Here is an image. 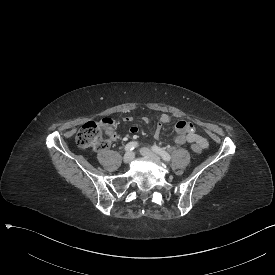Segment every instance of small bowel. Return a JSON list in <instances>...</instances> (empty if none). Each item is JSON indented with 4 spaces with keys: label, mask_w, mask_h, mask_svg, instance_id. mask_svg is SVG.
Returning a JSON list of instances; mask_svg holds the SVG:
<instances>
[{
    "label": "small bowel",
    "mask_w": 275,
    "mask_h": 275,
    "mask_svg": "<svg viewBox=\"0 0 275 275\" xmlns=\"http://www.w3.org/2000/svg\"><path fill=\"white\" fill-rule=\"evenodd\" d=\"M124 122H131L132 117L129 115H124L122 117ZM171 121V117L167 114H163L159 120L158 124L154 130V137L159 138L161 136L162 126ZM176 136L174 138V142L178 145H183L186 143H194V142H203L207 146V141L197 134L195 125L188 120L182 119L179 120L176 125ZM129 133L131 135H136L138 133V128L136 126H131L129 128Z\"/></svg>",
    "instance_id": "obj_1"
}]
</instances>
